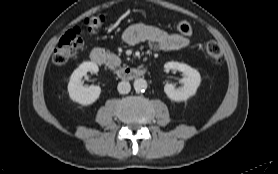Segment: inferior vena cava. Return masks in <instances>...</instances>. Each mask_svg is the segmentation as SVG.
Wrapping results in <instances>:
<instances>
[{
  "label": "inferior vena cava",
  "mask_w": 278,
  "mask_h": 174,
  "mask_svg": "<svg viewBox=\"0 0 278 174\" xmlns=\"http://www.w3.org/2000/svg\"><path fill=\"white\" fill-rule=\"evenodd\" d=\"M117 89L120 94H127L130 92L131 86L129 82L121 81L119 82Z\"/></svg>",
  "instance_id": "inferior-vena-cava-1"
}]
</instances>
